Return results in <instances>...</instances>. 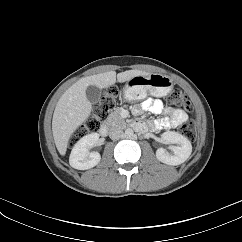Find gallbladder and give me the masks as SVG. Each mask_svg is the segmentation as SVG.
<instances>
[{
    "mask_svg": "<svg viewBox=\"0 0 242 242\" xmlns=\"http://www.w3.org/2000/svg\"><path fill=\"white\" fill-rule=\"evenodd\" d=\"M86 96L87 99L92 103V104H97L100 101V90L98 87L94 85H89L86 89Z\"/></svg>",
    "mask_w": 242,
    "mask_h": 242,
    "instance_id": "1",
    "label": "gallbladder"
}]
</instances>
